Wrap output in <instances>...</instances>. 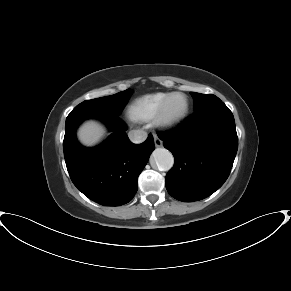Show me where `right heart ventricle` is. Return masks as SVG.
Segmentation results:
<instances>
[{"label": "right heart ventricle", "instance_id": "1", "mask_svg": "<svg viewBox=\"0 0 291 291\" xmlns=\"http://www.w3.org/2000/svg\"><path fill=\"white\" fill-rule=\"evenodd\" d=\"M168 96V93H154L140 97L130 104L129 114L135 120H153Z\"/></svg>", "mask_w": 291, "mask_h": 291}]
</instances>
